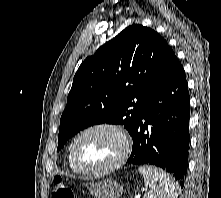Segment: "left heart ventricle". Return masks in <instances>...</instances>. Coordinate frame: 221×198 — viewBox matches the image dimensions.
<instances>
[{"mask_svg":"<svg viewBox=\"0 0 221 198\" xmlns=\"http://www.w3.org/2000/svg\"><path fill=\"white\" fill-rule=\"evenodd\" d=\"M122 149L120 138L110 130H95L77 143L76 153L81 165L98 169L113 163Z\"/></svg>","mask_w":221,"mask_h":198,"instance_id":"b2bd125f","label":"left heart ventricle"}]
</instances>
